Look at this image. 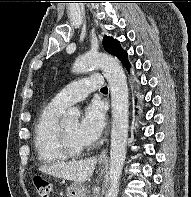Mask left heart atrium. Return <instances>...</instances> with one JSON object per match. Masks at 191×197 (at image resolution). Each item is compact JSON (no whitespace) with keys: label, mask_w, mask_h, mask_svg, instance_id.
<instances>
[{"label":"left heart atrium","mask_w":191,"mask_h":197,"mask_svg":"<svg viewBox=\"0 0 191 197\" xmlns=\"http://www.w3.org/2000/svg\"><path fill=\"white\" fill-rule=\"evenodd\" d=\"M105 126V112L98 102L89 104L83 113L78 125V139L85 145L96 141L101 135Z\"/></svg>","instance_id":"39dd6f15"}]
</instances>
